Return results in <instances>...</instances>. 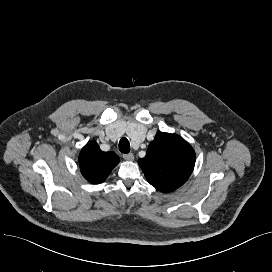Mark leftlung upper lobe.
<instances>
[{"label":"left lung upper lobe","mask_w":272,"mask_h":272,"mask_svg":"<svg viewBox=\"0 0 272 272\" xmlns=\"http://www.w3.org/2000/svg\"><path fill=\"white\" fill-rule=\"evenodd\" d=\"M195 160L193 148L182 137L158 132L138 164L152 186L168 193L187 181Z\"/></svg>","instance_id":"1"}]
</instances>
